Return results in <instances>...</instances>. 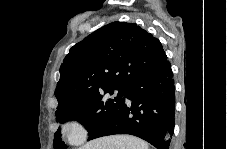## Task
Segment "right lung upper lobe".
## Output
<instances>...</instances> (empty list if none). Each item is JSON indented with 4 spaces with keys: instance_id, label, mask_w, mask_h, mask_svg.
Masks as SVG:
<instances>
[{
    "instance_id": "cb5924a9",
    "label": "right lung upper lobe",
    "mask_w": 227,
    "mask_h": 149,
    "mask_svg": "<svg viewBox=\"0 0 227 149\" xmlns=\"http://www.w3.org/2000/svg\"><path fill=\"white\" fill-rule=\"evenodd\" d=\"M166 61L160 41L136 24L105 25L75 44L63 60L57 109L101 87H127Z\"/></svg>"
}]
</instances>
